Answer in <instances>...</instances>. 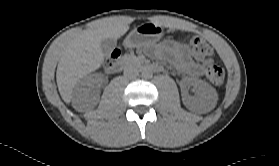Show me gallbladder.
I'll use <instances>...</instances> for the list:
<instances>
[{"mask_svg": "<svg viewBox=\"0 0 279 166\" xmlns=\"http://www.w3.org/2000/svg\"><path fill=\"white\" fill-rule=\"evenodd\" d=\"M116 45H117V41L115 38L109 37L103 39L100 44L103 55L105 57L109 56L111 52L115 49Z\"/></svg>", "mask_w": 279, "mask_h": 166, "instance_id": "bac80fb5", "label": "gallbladder"}]
</instances>
